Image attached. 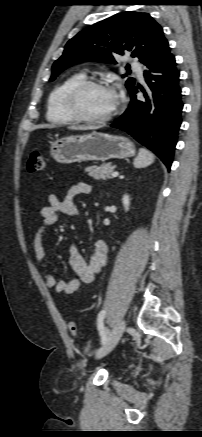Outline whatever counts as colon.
<instances>
[{"instance_id":"obj_1","label":"colon","mask_w":202,"mask_h":437,"mask_svg":"<svg viewBox=\"0 0 202 437\" xmlns=\"http://www.w3.org/2000/svg\"><path fill=\"white\" fill-rule=\"evenodd\" d=\"M45 162L43 154L40 150H33L28 159L27 168L29 172H41L44 170ZM68 330L71 335H77V325L74 321L68 323Z\"/></svg>"}]
</instances>
